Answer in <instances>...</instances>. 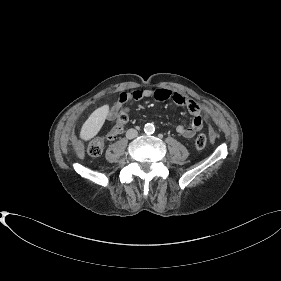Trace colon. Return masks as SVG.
I'll list each match as a JSON object with an SVG mask.
<instances>
[{"instance_id": "obj_1", "label": "colon", "mask_w": 281, "mask_h": 281, "mask_svg": "<svg viewBox=\"0 0 281 281\" xmlns=\"http://www.w3.org/2000/svg\"><path fill=\"white\" fill-rule=\"evenodd\" d=\"M128 121V111L124 106H120L117 113V122L115 127L105 136L91 141L87 152L92 157H98L102 154L106 140H114L122 131L123 125ZM195 145L198 149H203L207 145V137L204 134L197 136Z\"/></svg>"}]
</instances>
